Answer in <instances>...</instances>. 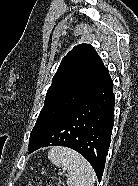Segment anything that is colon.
<instances>
[{"label":"colon","mask_w":138,"mask_h":186,"mask_svg":"<svg viewBox=\"0 0 138 186\" xmlns=\"http://www.w3.org/2000/svg\"><path fill=\"white\" fill-rule=\"evenodd\" d=\"M28 186H42L41 180L37 177L30 179ZM47 186H64L60 179L56 177H49Z\"/></svg>","instance_id":"obj_1"}]
</instances>
